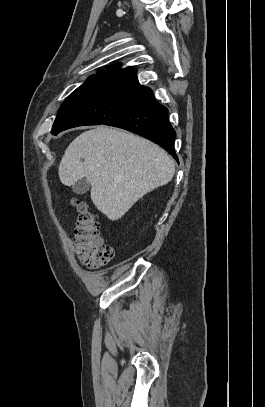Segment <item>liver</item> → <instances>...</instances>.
Listing matches in <instances>:
<instances>
[{"mask_svg": "<svg viewBox=\"0 0 265 407\" xmlns=\"http://www.w3.org/2000/svg\"><path fill=\"white\" fill-rule=\"evenodd\" d=\"M174 172L173 159L158 145L103 125L76 137L58 168L66 186L86 178L92 202L112 221L147 193L168 184Z\"/></svg>", "mask_w": 265, "mask_h": 407, "instance_id": "1", "label": "liver"}]
</instances>
